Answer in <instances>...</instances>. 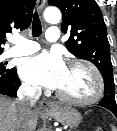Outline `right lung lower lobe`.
<instances>
[{"instance_id":"98d812e1","label":"right lung lower lobe","mask_w":117,"mask_h":131,"mask_svg":"<svg viewBox=\"0 0 117 131\" xmlns=\"http://www.w3.org/2000/svg\"><path fill=\"white\" fill-rule=\"evenodd\" d=\"M20 85L21 83L17 76L16 68H13L10 74L0 76V94L16 97Z\"/></svg>"}]
</instances>
